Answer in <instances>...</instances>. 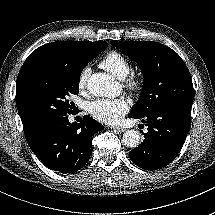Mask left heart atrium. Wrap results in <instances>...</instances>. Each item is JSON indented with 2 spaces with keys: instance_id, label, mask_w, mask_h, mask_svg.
<instances>
[{
  "instance_id": "obj_1",
  "label": "left heart atrium",
  "mask_w": 215,
  "mask_h": 215,
  "mask_svg": "<svg viewBox=\"0 0 215 215\" xmlns=\"http://www.w3.org/2000/svg\"><path fill=\"white\" fill-rule=\"evenodd\" d=\"M130 110L124 98L98 99L91 103L90 114L97 120L113 124L118 122Z\"/></svg>"
}]
</instances>
